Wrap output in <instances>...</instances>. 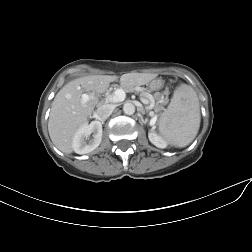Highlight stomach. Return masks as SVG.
Returning a JSON list of instances; mask_svg holds the SVG:
<instances>
[{
  "label": "stomach",
  "instance_id": "1",
  "mask_svg": "<svg viewBox=\"0 0 252 252\" xmlns=\"http://www.w3.org/2000/svg\"><path fill=\"white\" fill-rule=\"evenodd\" d=\"M163 87V82L160 79L152 80L149 84L150 90H159Z\"/></svg>",
  "mask_w": 252,
  "mask_h": 252
}]
</instances>
